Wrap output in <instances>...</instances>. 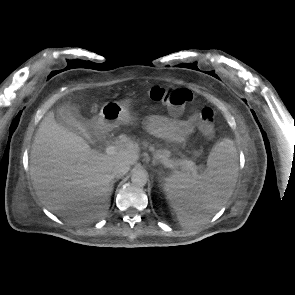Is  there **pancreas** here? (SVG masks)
I'll return each mask as SVG.
<instances>
[{
	"instance_id": "1",
	"label": "pancreas",
	"mask_w": 295,
	"mask_h": 295,
	"mask_svg": "<svg viewBox=\"0 0 295 295\" xmlns=\"http://www.w3.org/2000/svg\"><path fill=\"white\" fill-rule=\"evenodd\" d=\"M170 156V151L168 150H163V151H157L156 152V159L160 160L163 162L164 159H168Z\"/></svg>"
}]
</instances>
